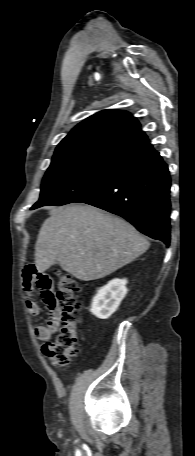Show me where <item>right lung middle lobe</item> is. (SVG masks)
Returning <instances> with one entry per match:
<instances>
[{
    "instance_id": "1",
    "label": "right lung middle lobe",
    "mask_w": 195,
    "mask_h": 456,
    "mask_svg": "<svg viewBox=\"0 0 195 456\" xmlns=\"http://www.w3.org/2000/svg\"><path fill=\"white\" fill-rule=\"evenodd\" d=\"M122 169L89 160L51 163L42 181L40 199L32 209L76 202L106 184Z\"/></svg>"
}]
</instances>
